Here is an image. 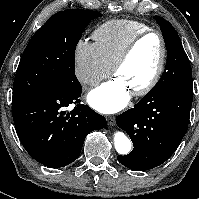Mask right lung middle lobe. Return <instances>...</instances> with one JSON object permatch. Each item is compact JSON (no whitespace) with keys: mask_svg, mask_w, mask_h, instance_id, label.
Returning <instances> with one entry per match:
<instances>
[{"mask_svg":"<svg viewBox=\"0 0 199 199\" xmlns=\"http://www.w3.org/2000/svg\"><path fill=\"white\" fill-rule=\"evenodd\" d=\"M100 16L93 10H64L36 31L16 71L12 108L47 91L81 88L75 76L76 45L90 21Z\"/></svg>","mask_w":199,"mask_h":199,"instance_id":"1","label":"right lung middle lobe"}]
</instances>
